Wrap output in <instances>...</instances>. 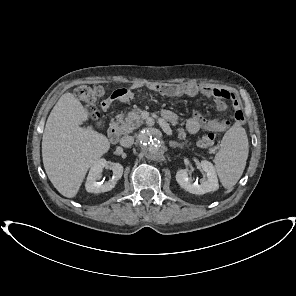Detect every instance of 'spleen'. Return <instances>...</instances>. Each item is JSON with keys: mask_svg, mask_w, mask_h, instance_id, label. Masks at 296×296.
<instances>
[{"mask_svg": "<svg viewBox=\"0 0 296 296\" xmlns=\"http://www.w3.org/2000/svg\"><path fill=\"white\" fill-rule=\"evenodd\" d=\"M249 143L246 131L234 124L224 135L214 164L221 184L229 189L240 179L248 158Z\"/></svg>", "mask_w": 296, "mask_h": 296, "instance_id": "3e777b00", "label": "spleen"}]
</instances>
